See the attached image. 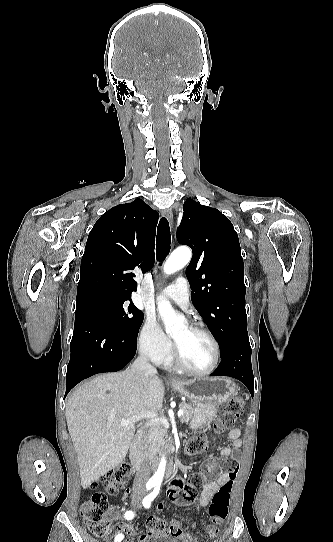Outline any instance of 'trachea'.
Listing matches in <instances>:
<instances>
[{"label": "trachea", "mask_w": 333, "mask_h": 542, "mask_svg": "<svg viewBox=\"0 0 333 542\" xmlns=\"http://www.w3.org/2000/svg\"><path fill=\"white\" fill-rule=\"evenodd\" d=\"M171 234L168 220L161 218L156 237V256L161 263L170 252Z\"/></svg>", "instance_id": "3493384b"}]
</instances>
